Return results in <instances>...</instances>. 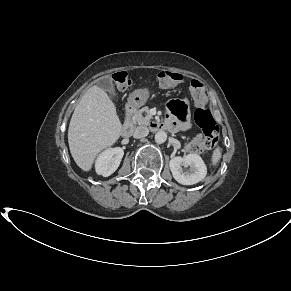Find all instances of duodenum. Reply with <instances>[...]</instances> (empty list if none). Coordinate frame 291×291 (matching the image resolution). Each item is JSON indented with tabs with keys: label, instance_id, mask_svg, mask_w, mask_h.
Segmentation results:
<instances>
[{
	"label": "duodenum",
	"instance_id": "1",
	"mask_svg": "<svg viewBox=\"0 0 291 291\" xmlns=\"http://www.w3.org/2000/svg\"><path fill=\"white\" fill-rule=\"evenodd\" d=\"M135 105L133 103H130L126 106L125 109V121L123 123L122 129H121V133L123 136H129L131 135L132 131H133V124L131 121V117L133 115V113L135 112ZM156 128H158V123L154 124Z\"/></svg>",
	"mask_w": 291,
	"mask_h": 291
}]
</instances>
